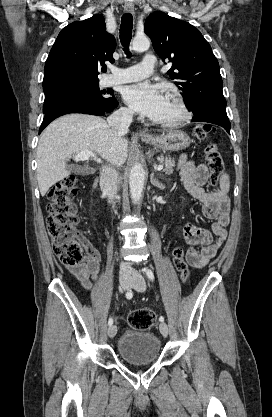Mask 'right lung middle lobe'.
<instances>
[{
  "label": "right lung middle lobe",
  "instance_id": "obj_1",
  "mask_svg": "<svg viewBox=\"0 0 272 417\" xmlns=\"http://www.w3.org/2000/svg\"><path fill=\"white\" fill-rule=\"evenodd\" d=\"M44 93V114L55 106L69 101H87L102 104L113 98L111 96L113 91L100 90L98 83L60 86L44 90Z\"/></svg>",
  "mask_w": 272,
  "mask_h": 417
}]
</instances>
